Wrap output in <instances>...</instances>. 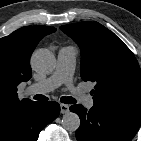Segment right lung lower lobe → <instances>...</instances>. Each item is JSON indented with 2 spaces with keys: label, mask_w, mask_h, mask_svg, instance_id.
I'll return each instance as SVG.
<instances>
[{
  "label": "right lung lower lobe",
  "mask_w": 141,
  "mask_h": 141,
  "mask_svg": "<svg viewBox=\"0 0 141 141\" xmlns=\"http://www.w3.org/2000/svg\"><path fill=\"white\" fill-rule=\"evenodd\" d=\"M59 113L56 102H33L0 122V141H37L40 131Z\"/></svg>",
  "instance_id": "obj_1"
}]
</instances>
